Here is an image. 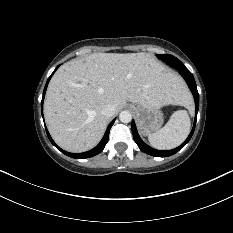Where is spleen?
I'll return each mask as SVG.
<instances>
[{
	"mask_svg": "<svg viewBox=\"0 0 233 233\" xmlns=\"http://www.w3.org/2000/svg\"><path fill=\"white\" fill-rule=\"evenodd\" d=\"M190 118L186 110L174 112L166 125L149 134L152 147L160 150L173 149L184 142L190 132Z\"/></svg>",
	"mask_w": 233,
	"mask_h": 233,
	"instance_id": "obj_1",
	"label": "spleen"
}]
</instances>
